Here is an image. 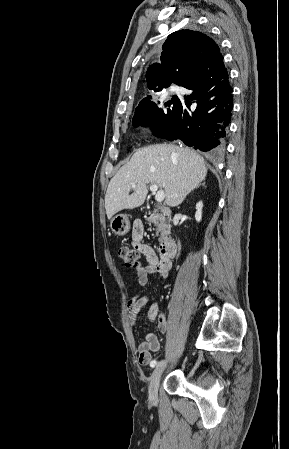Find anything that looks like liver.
Here are the masks:
<instances>
[{
  "instance_id": "1",
  "label": "liver",
  "mask_w": 289,
  "mask_h": 449,
  "mask_svg": "<svg viewBox=\"0 0 289 449\" xmlns=\"http://www.w3.org/2000/svg\"><path fill=\"white\" fill-rule=\"evenodd\" d=\"M206 175L204 159L190 148L157 144L139 149L110 180L105 195L107 217L141 206L149 183L164 190L167 206L176 207ZM132 183L135 187L129 195Z\"/></svg>"
}]
</instances>
